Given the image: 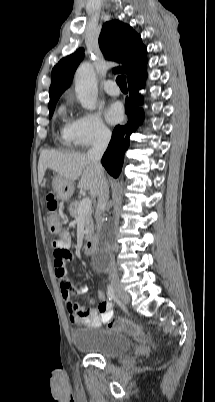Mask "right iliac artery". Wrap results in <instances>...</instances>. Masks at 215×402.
Listing matches in <instances>:
<instances>
[{"mask_svg": "<svg viewBox=\"0 0 215 402\" xmlns=\"http://www.w3.org/2000/svg\"><path fill=\"white\" fill-rule=\"evenodd\" d=\"M107 296L109 300H116L115 291L111 284L107 287Z\"/></svg>", "mask_w": 215, "mask_h": 402, "instance_id": "right-iliac-artery-1", "label": "right iliac artery"}]
</instances>
